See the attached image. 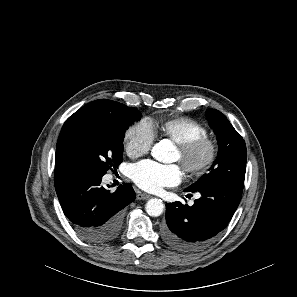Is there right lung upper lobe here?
<instances>
[{
  "mask_svg": "<svg viewBox=\"0 0 297 297\" xmlns=\"http://www.w3.org/2000/svg\"><path fill=\"white\" fill-rule=\"evenodd\" d=\"M119 104L120 103L112 100H95L80 108L71 115L64 124L76 117H89L110 122L117 121L120 117Z\"/></svg>",
  "mask_w": 297,
  "mask_h": 297,
  "instance_id": "cb5924a9",
  "label": "right lung upper lobe"
}]
</instances>
